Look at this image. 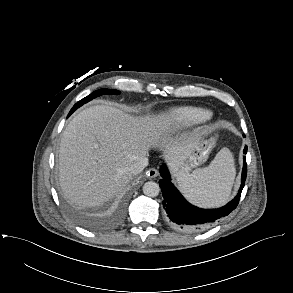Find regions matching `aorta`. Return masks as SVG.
Listing matches in <instances>:
<instances>
[{
	"label": "aorta",
	"instance_id": "762f6f07",
	"mask_svg": "<svg viewBox=\"0 0 293 293\" xmlns=\"http://www.w3.org/2000/svg\"><path fill=\"white\" fill-rule=\"evenodd\" d=\"M160 186L156 182L148 181L143 186V193L148 197H156L159 195Z\"/></svg>",
	"mask_w": 293,
	"mask_h": 293
}]
</instances>
